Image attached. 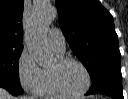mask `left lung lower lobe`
I'll use <instances>...</instances> for the list:
<instances>
[{
	"label": "left lung lower lobe",
	"mask_w": 128,
	"mask_h": 99,
	"mask_svg": "<svg viewBox=\"0 0 128 99\" xmlns=\"http://www.w3.org/2000/svg\"><path fill=\"white\" fill-rule=\"evenodd\" d=\"M104 94L113 99H124L122 91L121 67H104L94 78L86 95Z\"/></svg>",
	"instance_id": "0a47b994"
}]
</instances>
